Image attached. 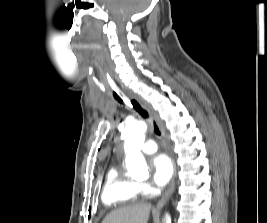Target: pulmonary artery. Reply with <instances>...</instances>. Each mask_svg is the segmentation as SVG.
<instances>
[{"label": "pulmonary artery", "instance_id": "e3ab8cb5", "mask_svg": "<svg viewBox=\"0 0 267 223\" xmlns=\"http://www.w3.org/2000/svg\"><path fill=\"white\" fill-rule=\"evenodd\" d=\"M157 143L154 140H148L146 141L142 147H141V151L144 153H153L157 150Z\"/></svg>", "mask_w": 267, "mask_h": 223}]
</instances>
